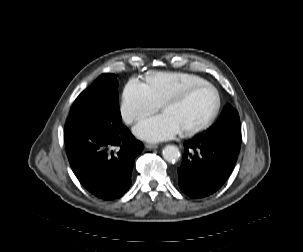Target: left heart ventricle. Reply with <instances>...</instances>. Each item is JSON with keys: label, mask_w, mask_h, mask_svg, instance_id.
Listing matches in <instances>:
<instances>
[{"label": "left heart ventricle", "mask_w": 303, "mask_h": 252, "mask_svg": "<svg viewBox=\"0 0 303 252\" xmlns=\"http://www.w3.org/2000/svg\"><path fill=\"white\" fill-rule=\"evenodd\" d=\"M214 105V93L209 88H203L183 103L169 107L166 112L180 130H189L202 125L210 117Z\"/></svg>", "instance_id": "left-heart-ventricle-1"}]
</instances>
